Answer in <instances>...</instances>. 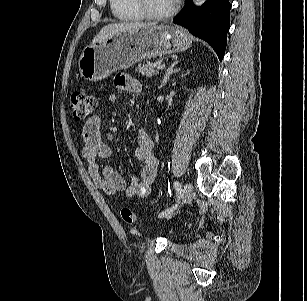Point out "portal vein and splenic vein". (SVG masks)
<instances>
[{
  "instance_id": "portal-vein-and-splenic-vein-1",
  "label": "portal vein and splenic vein",
  "mask_w": 307,
  "mask_h": 301,
  "mask_svg": "<svg viewBox=\"0 0 307 301\" xmlns=\"http://www.w3.org/2000/svg\"><path fill=\"white\" fill-rule=\"evenodd\" d=\"M165 68V65L164 64H162V65H157V69L158 70H163Z\"/></svg>"
}]
</instances>
